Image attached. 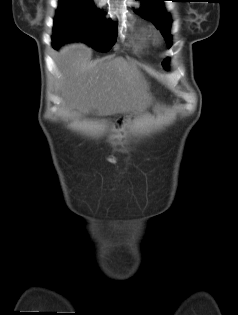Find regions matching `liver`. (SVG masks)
Returning <instances> with one entry per match:
<instances>
[{
    "mask_svg": "<svg viewBox=\"0 0 238 315\" xmlns=\"http://www.w3.org/2000/svg\"><path fill=\"white\" fill-rule=\"evenodd\" d=\"M91 55V49L82 43L60 50L55 87L62 107L114 115L150 102L147 83L134 64L123 57L91 61Z\"/></svg>",
    "mask_w": 238,
    "mask_h": 315,
    "instance_id": "1",
    "label": "liver"
}]
</instances>
